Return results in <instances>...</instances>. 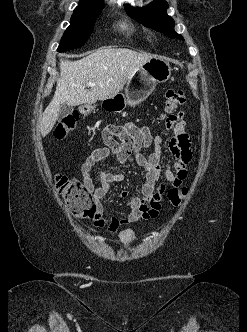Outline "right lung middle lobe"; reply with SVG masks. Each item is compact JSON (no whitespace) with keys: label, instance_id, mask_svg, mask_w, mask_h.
<instances>
[{"label":"right lung middle lobe","instance_id":"right-lung-middle-lobe-1","mask_svg":"<svg viewBox=\"0 0 247 332\" xmlns=\"http://www.w3.org/2000/svg\"><path fill=\"white\" fill-rule=\"evenodd\" d=\"M104 6L76 8L71 17V25L61 38L58 52L79 48L85 44L93 31V25Z\"/></svg>","mask_w":247,"mask_h":332}]
</instances>
